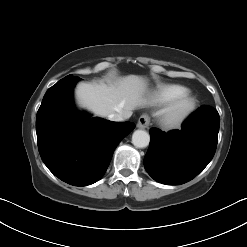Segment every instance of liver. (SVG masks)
<instances>
[{"label": "liver", "mask_w": 247, "mask_h": 247, "mask_svg": "<svg viewBox=\"0 0 247 247\" xmlns=\"http://www.w3.org/2000/svg\"><path fill=\"white\" fill-rule=\"evenodd\" d=\"M146 89L145 78L128 75L118 78L110 85L80 83L75 93L80 107L106 117L111 113L132 111L147 105Z\"/></svg>", "instance_id": "obj_1"}]
</instances>
